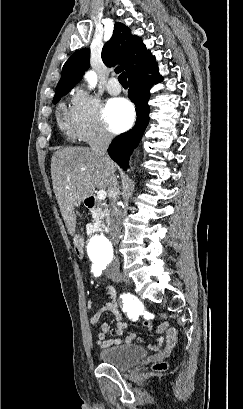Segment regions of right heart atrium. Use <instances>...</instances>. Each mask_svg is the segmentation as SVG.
<instances>
[{"label":"right heart atrium","instance_id":"right-heart-atrium-1","mask_svg":"<svg viewBox=\"0 0 243 409\" xmlns=\"http://www.w3.org/2000/svg\"><path fill=\"white\" fill-rule=\"evenodd\" d=\"M69 118L71 134L80 141L108 142L112 138L102 120L99 103L85 91L78 90L73 94Z\"/></svg>","mask_w":243,"mask_h":409}]
</instances>
